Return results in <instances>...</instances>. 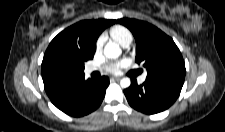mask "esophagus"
<instances>
[{"label":"esophagus","mask_w":225,"mask_h":132,"mask_svg":"<svg viewBox=\"0 0 225 132\" xmlns=\"http://www.w3.org/2000/svg\"><path fill=\"white\" fill-rule=\"evenodd\" d=\"M110 80H111V81H119L120 78H119V77H111Z\"/></svg>","instance_id":"1"}]
</instances>
